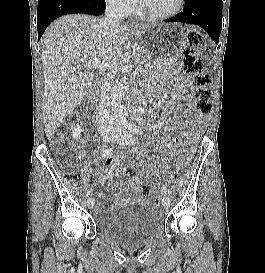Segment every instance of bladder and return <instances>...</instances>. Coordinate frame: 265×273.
Instances as JSON below:
<instances>
[{
    "label": "bladder",
    "mask_w": 265,
    "mask_h": 273,
    "mask_svg": "<svg viewBox=\"0 0 265 273\" xmlns=\"http://www.w3.org/2000/svg\"><path fill=\"white\" fill-rule=\"evenodd\" d=\"M165 226L160 208L150 203H130L97 220L100 233L126 248H136L159 237Z\"/></svg>",
    "instance_id": "31cf9c89"
}]
</instances>
